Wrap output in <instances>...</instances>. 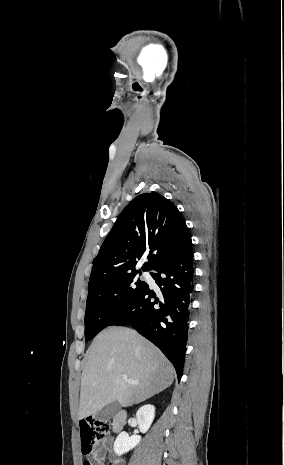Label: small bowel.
I'll return each mask as SVG.
<instances>
[{
  "mask_svg": "<svg viewBox=\"0 0 284 465\" xmlns=\"http://www.w3.org/2000/svg\"><path fill=\"white\" fill-rule=\"evenodd\" d=\"M110 452V447L108 442L105 440L97 445V449L94 453V460L96 463L91 462V465H103L104 461L106 460L108 454ZM111 465H122V460L118 458H114Z\"/></svg>",
  "mask_w": 284,
  "mask_h": 465,
  "instance_id": "obj_1",
  "label": "small bowel"
}]
</instances>
